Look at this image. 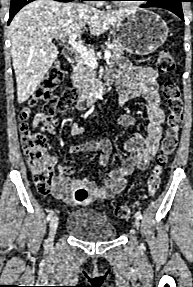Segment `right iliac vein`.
<instances>
[{"mask_svg": "<svg viewBox=\"0 0 193 287\" xmlns=\"http://www.w3.org/2000/svg\"><path fill=\"white\" fill-rule=\"evenodd\" d=\"M57 228H58V217L54 216L51 221H50V225H49V237L46 241V245L49 246L52 244L53 239L56 235L57 232Z\"/></svg>", "mask_w": 193, "mask_h": 287, "instance_id": "right-iliac-vein-1", "label": "right iliac vein"}]
</instances>
